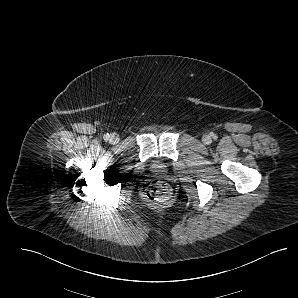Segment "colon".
<instances>
[{"mask_svg": "<svg viewBox=\"0 0 298 298\" xmlns=\"http://www.w3.org/2000/svg\"><path fill=\"white\" fill-rule=\"evenodd\" d=\"M170 197L171 188L164 181L152 182L146 191V198L152 202L163 203L168 201Z\"/></svg>", "mask_w": 298, "mask_h": 298, "instance_id": "colon-1", "label": "colon"}]
</instances>
